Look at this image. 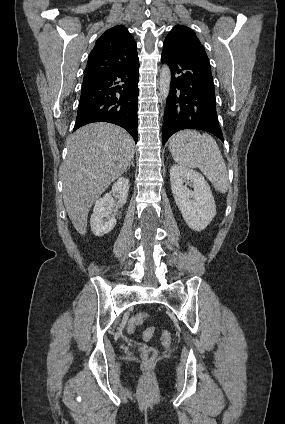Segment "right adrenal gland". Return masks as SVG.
I'll return each instance as SVG.
<instances>
[{"mask_svg": "<svg viewBox=\"0 0 285 424\" xmlns=\"http://www.w3.org/2000/svg\"><path fill=\"white\" fill-rule=\"evenodd\" d=\"M131 165H132V167H134V166H135V165H134V158L132 159V161H131L130 165L128 166V168L126 169V171H128V170L130 169Z\"/></svg>", "mask_w": 285, "mask_h": 424, "instance_id": "1", "label": "right adrenal gland"}]
</instances>
